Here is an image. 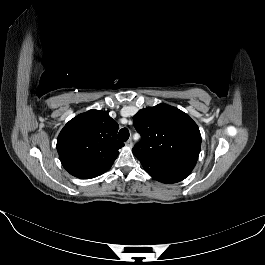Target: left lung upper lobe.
I'll list each match as a JSON object with an SVG mask.
<instances>
[{
    "instance_id": "5c2ea615",
    "label": "left lung upper lobe",
    "mask_w": 265,
    "mask_h": 265,
    "mask_svg": "<svg viewBox=\"0 0 265 265\" xmlns=\"http://www.w3.org/2000/svg\"><path fill=\"white\" fill-rule=\"evenodd\" d=\"M133 121L141 135V143L133 148V153L143 167L198 159L199 128L178 108L166 104L144 108L134 115Z\"/></svg>"
}]
</instances>
